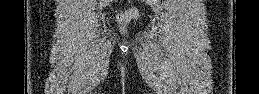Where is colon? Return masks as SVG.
Masks as SVG:
<instances>
[{
    "mask_svg": "<svg viewBox=\"0 0 259 94\" xmlns=\"http://www.w3.org/2000/svg\"><path fill=\"white\" fill-rule=\"evenodd\" d=\"M136 16V11L135 10H128L125 12H122L118 15V20L122 23L127 22L131 18Z\"/></svg>",
    "mask_w": 259,
    "mask_h": 94,
    "instance_id": "obj_1",
    "label": "colon"
}]
</instances>
